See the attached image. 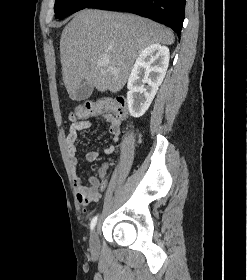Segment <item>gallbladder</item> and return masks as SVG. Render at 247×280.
I'll return each instance as SVG.
<instances>
[{
    "mask_svg": "<svg viewBox=\"0 0 247 280\" xmlns=\"http://www.w3.org/2000/svg\"><path fill=\"white\" fill-rule=\"evenodd\" d=\"M93 89L94 86L91 83L87 81L82 82L72 96V99L76 101H83L91 96Z\"/></svg>",
    "mask_w": 247,
    "mask_h": 280,
    "instance_id": "gallbladder-1",
    "label": "gallbladder"
}]
</instances>
